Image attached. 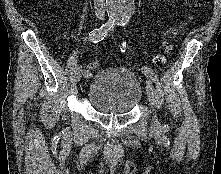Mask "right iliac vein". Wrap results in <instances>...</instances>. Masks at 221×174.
Listing matches in <instances>:
<instances>
[{
    "label": "right iliac vein",
    "instance_id": "obj_1",
    "mask_svg": "<svg viewBox=\"0 0 221 174\" xmlns=\"http://www.w3.org/2000/svg\"><path fill=\"white\" fill-rule=\"evenodd\" d=\"M82 78V68L78 67L77 72H76V82H79Z\"/></svg>",
    "mask_w": 221,
    "mask_h": 174
}]
</instances>
